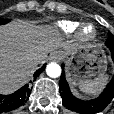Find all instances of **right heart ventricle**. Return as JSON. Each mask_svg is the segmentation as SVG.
<instances>
[{
  "mask_svg": "<svg viewBox=\"0 0 114 114\" xmlns=\"http://www.w3.org/2000/svg\"><path fill=\"white\" fill-rule=\"evenodd\" d=\"M58 28L66 35L72 34L78 27V23L74 21H59L57 23Z\"/></svg>",
  "mask_w": 114,
  "mask_h": 114,
  "instance_id": "e07e8e85",
  "label": "right heart ventricle"
}]
</instances>
